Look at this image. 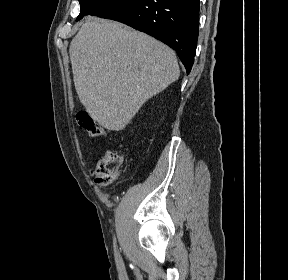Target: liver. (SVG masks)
Masks as SVG:
<instances>
[{"mask_svg":"<svg viewBox=\"0 0 288 280\" xmlns=\"http://www.w3.org/2000/svg\"><path fill=\"white\" fill-rule=\"evenodd\" d=\"M75 89L91 117L126 127L142 105L179 78L169 47L121 23L88 17L69 48Z\"/></svg>","mask_w":288,"mask_h":280,"instance_id":"6515ba94","label":"liver"}]
</instances>
